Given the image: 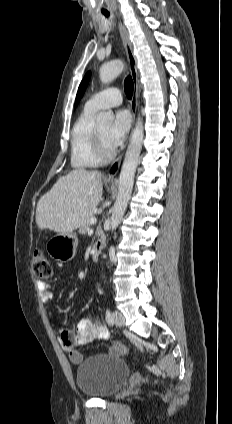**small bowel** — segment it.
<instances>
[{"label":"small bowel","instance_id":"obj_1","mask_svg":"<svg viewBox=\"0 0 232 424\" xmlns=\"http://www.w3.org/2000/svg\"><path fill=\"white\" fill-rule=\"evenodd\" d=\"M38 290L42 301L48 304L53 299L51 286L43 281L38 282ZM109 330L103 321L91 314L90 318L79 320L73 328H60L58 339L63 351L69 356L71 362L78 364L83 360V353L77 347L86 345L98 339H108ZM109 352L113 355L124 353L117 352L114 346H110Z\"/></svg>","mask_w":232,"mask_h":424}]
</instances>
